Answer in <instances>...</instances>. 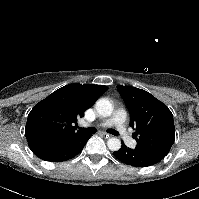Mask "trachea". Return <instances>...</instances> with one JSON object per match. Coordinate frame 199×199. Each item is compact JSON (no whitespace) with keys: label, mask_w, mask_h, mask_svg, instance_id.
Here are the masks:
<instances>
[{"label":"trachea","mask_w":199,"mask_h":199,"mask_svg":"<svg viewBox=\"0 0 199 199\" xmlns=\"http://www.w3.org/2000/svg\"><path fill=\"white\" fill-rule=\"evenodd\" d=\"M80 130L83 131V132H85V133H88V134H94V133H96V129L93 128V127H90V128H80ZM107 132L110 133V134H113L115 136L118 135V132L116 130H114V129H109Z\"/></svg>","instance_id":"trachea-1"}]
</instances>
